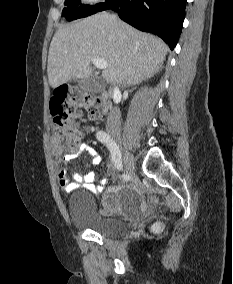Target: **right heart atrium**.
<instances>
[{
	"mask_svg": "<svg viewBox=\"0 0 233 284\" xmlns=\"http://www.w3.org/2000/svg\"><path fill=\"white\" fill-rule=\"evenodd\" d=\"M85 2L89 3V4H95V3H98L102 0H84Z\"/></svg>",
	"mask_w": 233,
	"mask_h": 284,
	"instance_id": "right-heart-atrium-1",
	"label": "right heart atrium"
}]
</instances>
